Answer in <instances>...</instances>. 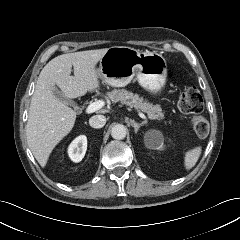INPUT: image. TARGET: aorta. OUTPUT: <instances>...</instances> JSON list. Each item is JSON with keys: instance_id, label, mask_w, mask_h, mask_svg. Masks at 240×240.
<instances>
[{"instance_id": "obj_1", "label": "aorta", "mask_w": 240, "mask_h": 240, "mask_svg": "<svg viewBox=\"0 0 240 240\" xmlns=\"http://www.w3.org/2000/svg\"><path fill=\"white\" fill-rule=\"evenodd\" d=\"M127 129L122 124H116L111 128V136L116 140H122L126 137Z\"/></svg>"}]
</instances>
